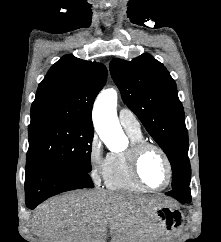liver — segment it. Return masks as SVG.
I'll return each mask as SVG.
<instances>
[{"label":"liver","mask_w":221,"mask_h":242,"mask_svg":"<svg viewBox=\"0 0 221 242\" xmlns=\"http://www.w3.org/2000/svg\"><path fill=\"white\" fill-rule=\"evenodd\" d=\"M165 204L159 197L77 190L38 206L31 224L42 242H106L108 230L111 242H156L155 209Z\"/></svg>","instance_id":"6515ba94"}]
</instances>
